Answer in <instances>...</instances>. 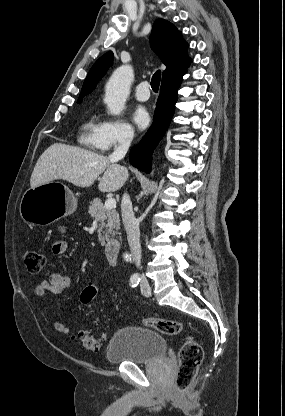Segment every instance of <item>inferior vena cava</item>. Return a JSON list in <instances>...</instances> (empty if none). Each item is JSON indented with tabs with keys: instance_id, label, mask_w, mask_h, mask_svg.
Returning <instances> with one entry per match:
<instances>
[{
	"instance_id": "602c4592",
	"label": "inferior vena cava",
	"mask_w": 285,
	"mask_h": 416,
	"mask_svg": "<svg viewBox=\"0 0 285 416\" xmlns=\"http://www.w3.org/2000/svg\"><path fill=\"white\" fill-rule=\"evenodd\" d=\"M132 142L131 136L127 132H122L118 140V146L114 148L113 154H110L109 160L111 164L123 160L127 150ZM121 212L124 228L127 232V240L130 246L131 254L134 258L136 266L141 264V246H140V230L139 222L132 212V202L128 194H124L121 202Z\"/></svg>"
}]
</instances>
